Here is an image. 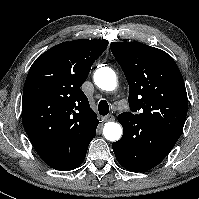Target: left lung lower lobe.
Here are the masks:
<instances>
[{
	"mask_svg": "<svg viewBox=\"0 0 199 199\" xmlns=\"http://www.w3.org/2000/svg\"><path fill=\"white\" fill-rule=\"evenodd\" d=\"M123 136L112 143L117 161L127 170L143 172L157 166L179 138L133 117H118Z\"/></svg>",
	"mask_w": 199,
	"mask_h": 199,
	"instance_id": "left-lung-lower-lobe-1",
	"label": "left lung lower lobe"
}]
</instances>
